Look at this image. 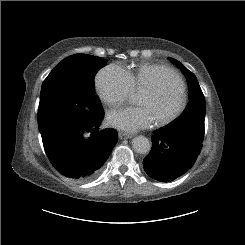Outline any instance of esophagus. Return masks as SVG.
<instances>
[{"label":"esophagus","instance_id":"1","mask_svg":"<svg viewBox=\"0 0 245 245\" xmlns=\"http://www.w3.org/2000/svg\"><path fill=\"white\" fill-rule=\"evenodd\" d=\"M118 136H119V139L123 140V139H130L133 137V135L131 134H127V133H124V132H119L118 133Z\"/></svg>","mask_w":245,"mask_h":245}]
</instances>
